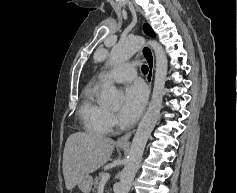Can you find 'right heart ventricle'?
I'll return each instance as SVG.
<instances>
[{
    "mask_svg": "<svg viewBox=\"0 0 237 193\" xmlns=\"http://www.w3.org/2000/svg\"><path fill=\"white\" fill-rule=\"evenodd\" d=\"M100 84L89 83L81 94L79 117L87 132L96 135H105L111 131L110 113L99 100Z\"/></svg>",
    "mask_w": 237,
    "mask_h": 193,
    "instance_id": "e07e8e85",
    "label": "right heart ventricle"
}]
</instances>
